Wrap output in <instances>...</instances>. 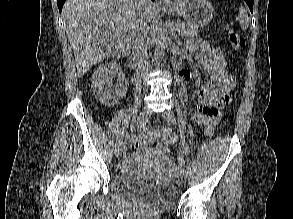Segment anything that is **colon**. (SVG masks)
Masks as SVG:
<instances>
[{"label": "colon", "instance_id": "1", "mask_svg": "<svg viewBox=\"0 0 293 219\" xmlns=\"http://www.w3.org/2000/svg\"><path fill=\"white\" fill-rule=\"evenodd\" d=\"M227 32L230 46L234 51H238L245 46V39L234 28L229 27ZM214 59L218 64L224 67V57L221 51H214ZM213 132L214 127L212 125L205 126L204 133L206 137H210ZM157 139V150L163 155L168 154L170 148L176 143V138L170 130H163Z\"/></svg>", "mask_w": 293, "mask_h": 219}]
</instances>
